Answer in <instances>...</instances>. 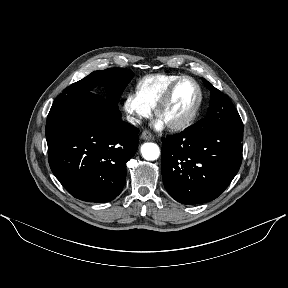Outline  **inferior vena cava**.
I'll return each instance as SVG.
<instances>
[{
	"mask_svg": "<svg viewBox=\"0 0 288 288\" xmlns=\"http://www.w3.org/2000/svg\"><path fill=\"white\" fill-rule=\"evenodd\" d=\"M127 121L133 125L140 124L141 120L132 116H127Z\"/></svg>",
	"mask_w": 288,
	"mask_h": 288,
	"instance_id": "obj_1",
	"label": "inferior vena cava"
}]
</instances>
